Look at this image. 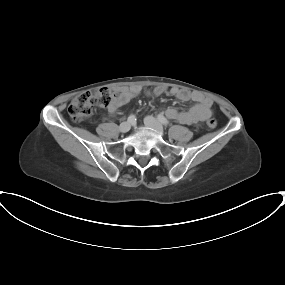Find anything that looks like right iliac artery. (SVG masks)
<instances>
[{
	"label": "right iliac artery",
	"instance_id": "obj_1",
	"mask_svg": "<svg viewBox=\"0 0 285 285\" xmlns=\"http://www.w3.org/2000/svg\"><path fill=\"white\" fill-rule=\"evenodd\" d=\"M129 123H134L136 121V117L134 115H130L127 119Z\"/></svg>",
	"mask_w": 285,
	"mask_h": 285
}]
</instances>
